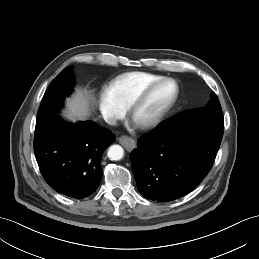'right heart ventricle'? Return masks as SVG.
Instances as JSON below:
<instances>
[{"label":"right heart ventricle","mask_w":259,"mask_h":259,"mask_svg":"<svg viewBox=\"0 0 259 259\" xmlns=\"http://www.w3.org/2000/svg\"><path fill=\"white\" fill-rule=\"evenodd\" d=\"M163 78L148 72H127L115 77L105 87V92L123 109L147 85Z\"/></svg>","instance_id":"obj_1"}]
</instances>
